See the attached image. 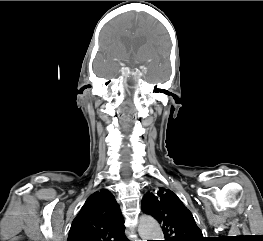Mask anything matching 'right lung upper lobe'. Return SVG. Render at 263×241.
<instances>
[{"instance_id": "right-lung-upper-lobe-1", "label": "right lung upper lobe", "mask_w": 263, "mask_h": 241, "mask_svg": "<svg viewBox=\"0 0 263 241\" xmlns=\"http://www.w3.org/2000/svg\"><path fill=\"white\" fill-rule=\"evenodd\" d=\"M119 205L109 190L88 197L74 218L67 241H128Z\"/></svg>"}]
</instances>
